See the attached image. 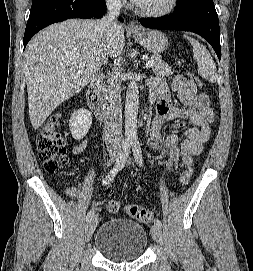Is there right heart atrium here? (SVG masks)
<instances>
[{
	"label": "right heart atrium",
	"instance_id": "1",
	"mask_svg": "<svg viewBox=\"0 0 253 271\" xmlns=\"http://www.w3.org/2000/svg\"><path fill=\"white\" fill-rule=\"evenodd\" d=\"M110 3H113V4H121L123 2V0H108Z\"/></svg>",
	"mask_w": 253,
	"mask_h": 271
}]
</instances>
